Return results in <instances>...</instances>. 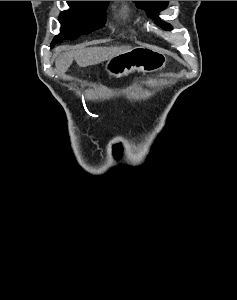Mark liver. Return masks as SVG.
Returning a JSON list of instances; mask_svg holds the SVG:
<instances>
[{
    "label": "liver",
    "mask_w": 237,
    "mask_h": 300,
    "mask_svg": "<svg viewBox=\"0 0 237 300\" xmlns=\"http://www.w3.org/2000/svg\"><path fill=\"white\" fill-rule=\"evenodd\" d=\"M131 51V47H79L75 51L69 53H61L56 59L57 69H61L65 73L72 65V61H76L79 67H89V65H99L102 61H108L116 55H122Z\"/></svg>",
    "instance_id": "obj_1"
}]
</instances>
